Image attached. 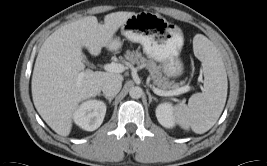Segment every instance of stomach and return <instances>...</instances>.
I'll return each mask as SVG.
<instances>
[{
  "mask_svg": "<svg viewBox=\"0 0 267 166\" xmlns=\"http://www.w3.org/2000/svg\"><path fill=\"white\" fill-rule=\"evenodd\" d=\"M121 30L128 40L140 43L149 58L162 64L166 76L175 78L183 73L179 55L184 39L177 25L157 13L144 11L129 17ZM121 46L120 39H113L109 48L118 50Z\"/></svg>",
  "mask_w": 267,
  "mask_h": 166,
  "instance_id": "0dacf381",
  "label": "stomach"
}]
</instances>
